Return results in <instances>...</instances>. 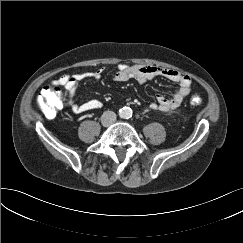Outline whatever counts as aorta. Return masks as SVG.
Here are the masks:
<instances>
[{
	"label": "aorta",
	"mask_w": 243,
	"mask_h": 243,
	"mask_svg": "<svg viewBox=\"0 0 243 243\" xmlns=\"http://www.w3.org/2000/svg\"><path fill=\"white\" fill-rule=\"evenodd\" d=\"M119 116L121 118L128 119L132 116V109L130 107H123L119 110Z\"/></svg>",
	"instance_id": "1"
}]
</instances>
